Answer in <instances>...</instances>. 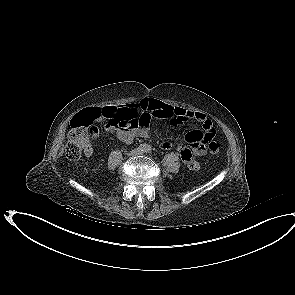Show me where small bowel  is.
<instances>
[{"label": "small bowel", "instance_id": "obj_1", "mask_svg": "<svg viewBox=\"0 0 295 295\" xmlns=\"http://www.w3.org/2000/svg\"><path fill=\"white\" fill-rule=\"evenodd\" d=\"M111 108L113 109V118L104 124V128L108 132L114 134L118 140L126 144H130L137 137L146 138L149 136V124L152 117L167 119L171 125H179L191 120L201 122L202 130H190L185 136L188 145L179 146L183 162L193 168H197L199 165L196 156L206 154V143L215 136L213 123L206 114L176 107L158 99L144 98L138 102ZM88 112L95 121H103V117L98 115L100 108L90 109ZM126 119L137 120L139 123L138 127L129 129L119 126V123ZM211 131H213L212 134L210 133ZM97 136L98 130H96L93 137ZM172 145V142L168 140H164L160 143V147L163 149H170ZM92 151L89 145L85 150V154L91 155Z\"/></svg>", "mask_w": 295, "mask_h": 295}]
</instances>
